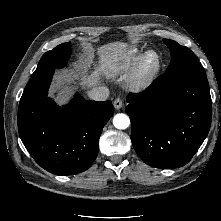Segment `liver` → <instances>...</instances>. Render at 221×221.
<instances>
[{"label":"liver","instance_id":"obj_1","mask_svg":"<svg viewBox=\"0 0 221 221\" xmlns=\"http://www.w3.org/2000/svg\"><path fill=\"white\" fill-rule=\"evenodd\" d=\"M125 45L122 43H110L98 49L100 65L90 75L86 76L85 69L76 66L74 70L63 71L55 76L52 84V91L58 92L59 103L64 102L68 97V85L73 79L80 78L81 85L93 87L98 84L99 76L112 63L117 62L123 55Z\"/></svg>","mask_w":221,"mask_h":221}]
</instances>
